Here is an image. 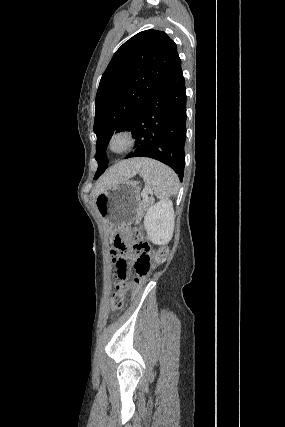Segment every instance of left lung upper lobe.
<instances>
[{
  "label": "left lung upper lobe",
  "mask_w": 285,
  "mask_h": 427,
  "mask_svg": "<svg viewBox=\"0 0 285 427\" xmlns=\"http://www.w3.org/2000/svg\"><path fill=\"white\" fill-rule=\"evenodd\" d=\"M179 55L174 41L163 31H142L125 42L103 73L95 100L94 133L97 179L108 167L106 148L114 132L130 129Z\"/></svg>",
  "instance_id": "obj_1"
}]
</instances>
